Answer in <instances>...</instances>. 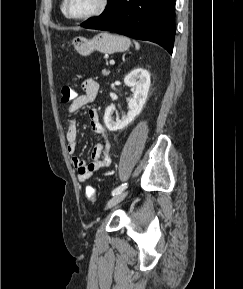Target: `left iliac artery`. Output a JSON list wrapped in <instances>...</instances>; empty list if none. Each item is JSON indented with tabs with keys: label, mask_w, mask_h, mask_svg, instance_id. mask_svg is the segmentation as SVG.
I'll use <instances>...</instances> for the list:
<instances>
[{
	"label": "left iliac artery",
	"mask_w": 243,
	"mask_h": 289,
	"mask_svg": "<svg viewBox=\"0 0 243 289\" xmlns=\"http://www.w3.org/2000/svg\"><path fill=\"white\" fill-rule=\"evenodd\" d=\"M126 188H127V183H124V184L118 186L117 188H115L112 191V195L119 194V193L123 192Z\"/></svg>",
	"instance_id": "left-iliac-artery-1"
}]
</instances>
